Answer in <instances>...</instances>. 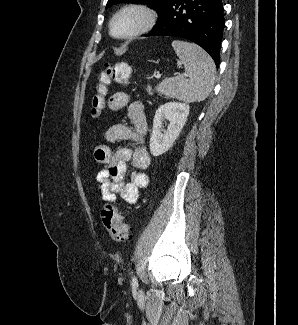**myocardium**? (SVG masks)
<instances>
[{"label": "myocardium", "instance_id": "f54148a6", "mask_svg": "<svg viewBox=\"0 0 298 325\" xmlns=\"http://www.w3.org/2000/svg\"><path fill=\"white\" fill-rule=\"evenodd\" d=\"M127 16H132V17L136 18V20L138 21L136 29L128 35H123V36L117 35L115 33L116 23L121 18L127 17ZM151 22H152V20H151L150 14L143 8L136 7V6L127 7L125 9L121 10L120 12H118L115 15V17L113 18V21L110 26V33L113 38H115L119 41L130 42V41L135 40L137 37H139L143 33H145L148 30V28L150 27Z\"/></svg>", "mask_w": 298, "mask_h": 325}]
</instances>
